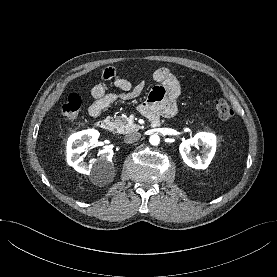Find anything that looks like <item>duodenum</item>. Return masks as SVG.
I'll return each instance as SVG.
<instances>
[{
	"instance_id": "1",
	"label": "duodenum",
	"mask_w": 277,
	"mask_h": 277,
	"mask_svg": "<svg viewBox=\"0 0 277 277\" xmlns=\"http://www.w3.org/2000/svg\"><path fill=\"white\" fill-rule=\"evenodd\" d=\"M151 119V122L153 124H157L158 123V118L156 117H152L150 118ZM96 126L102 130H109L111 125H110V122L108 120H105V119H102V120H98L96 122Z\"/></svg>"
}]
</instances>
